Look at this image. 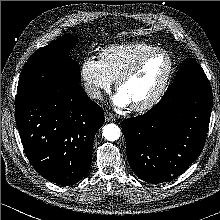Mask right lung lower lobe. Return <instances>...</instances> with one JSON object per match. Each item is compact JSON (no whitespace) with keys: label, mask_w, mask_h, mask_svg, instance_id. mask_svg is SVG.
<instances>
[{"label":"right lung lower lobe","mask_w":220,"mask_h":220,"mask_svg":"<svg viewBox=\"0 0 220 220\" xmlns=\"http://www.w3.org/2000/svg\"><path fill=\"white\" fill-rule=\"evenodd\" d=\"M15 117L26 156L41 176L69 186L86 175L104 112L80 84L17 94Z\"/></svg>","instance_id":"obj_1"}]
</instances>
